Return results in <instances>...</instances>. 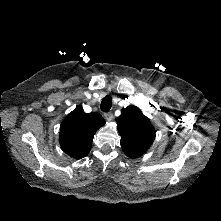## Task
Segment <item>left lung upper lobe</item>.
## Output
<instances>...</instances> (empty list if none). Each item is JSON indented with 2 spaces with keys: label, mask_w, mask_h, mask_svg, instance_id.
Wrapping results in <instances>:
<instances>
[{
  "label": "left lung upper lobe",
  "mask_w": 221,
  "mask_h": 221,
  "mask_svg": "<svg viewBox=\"0 0 221 221\" xmlns=\"http://www.w3.org/2000/svg\"><path fill=\"white\" fill-rule=\"evenodd\" d=\"M116 122L121 135L120 144L128 157L137 158L150 148L155 129L138 107L129 105L123 108Z\"/></svg>",
  "instance_id": "obj_1"
}]
</instances>
